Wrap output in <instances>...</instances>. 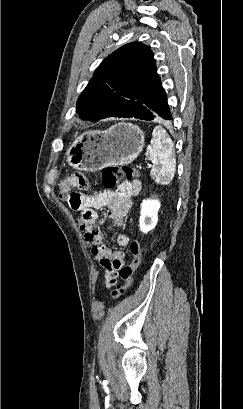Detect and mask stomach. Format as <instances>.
I'll list each match as a JSON object with an SVG mask.
<instances>
[{
    "label": "stomach",
    "mask_w": 243,
    "mask_h": 409,
    "mask_svg": "<svg viewBox=\"0 0 243 409\" xmlns=\"http://www.w3.org/2000/svg\"><path fill=\"white\" fill-rule=\"evenodd\" d=\"M144 132L131 123H117L105 131H88L66 152L70 166L95 172L109 165L132 163L144 147Z\"/></svg>",
    "instance_id": "1"
}]
</instances>
